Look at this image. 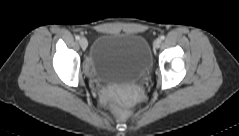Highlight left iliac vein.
<instances>
[{"label":"left iliac vein","instance_id":"left-iliac-vein-1","mask_svg":"<svg viewBox=\"0 0 239 136\" xmlns=\"http://www.w3.org/2000/svg\"><path fill=\"white\" fill-rule=\"evenodd\" d=\"M161 45V40L160 39H156L153 43L154 48H159Z\"/></svg>","mask_w":239,"mask_h":136}]
</instances>
